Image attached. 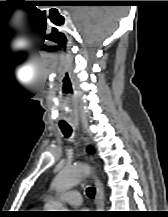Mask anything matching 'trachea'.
<instances>
[{
  "instance_id": "1",
  "label": "trachea",
  "mask_w": 168,
  "mask_h": 217,
  "mask_svg": "<svg viewBox=\"0 0 168 217\" xmlns=\"http://www.w3.org/2000/svg\"><path fill=\"white\" fill-rule=\"evenodd\" d=\"M63 134L68 137L72 134V128L71 127H60ZM86 194L89 198L94 199L95 197V188L89 187L86 190Z\"/></svg>"
}]
</instances>
